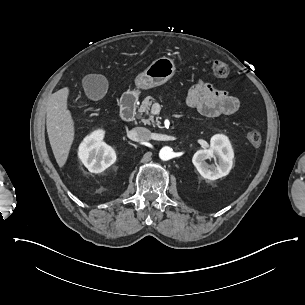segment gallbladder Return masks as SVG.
<instances>
[{
  "label": "gallbladder",
  "mask_w": 305,
  "mask_h": 305,
  "mask_svg": "<svg viewBox=\"0 0 305 305\" xmlns=\"http://www.w3.org/2000/svg\"><path fill=\"white\" fill-rule=\"evenodd\" d=\"M82 86L89 100L100 101L108 92L109 81L102 74H87L82 78Z\"/></svg>",
  "instance_id": "1"
}]
</instances>
